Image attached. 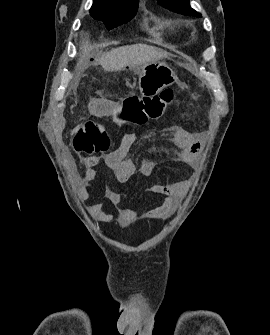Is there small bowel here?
<instances>
[{"instance_id": "small-bowel-1", "label": "small bowel", "mask_w": 270, "mask_h": 335, "mask_svg": "<svg viewBox=\"0 0 270 335\" xmlns=\"http://www.w3.org/2000/svg\"><path fill=\"white\" fill-rule=\"evenodd\" d=\"M100 108L97 110L99 116L117 118L115 104L108 100H99ZM171 144L179 152L175 157L178 163L189 166H196L197 155L201 149L202 142L199 135L191 133L180 126L171 127ZM135 142V135L130 131L122 133L119 147L102 156H91L82 161L83 172L80 177V196L86 198L87 187L96 179L97 173L95 167L104 160L109 169L114 173L120 183L128 182L137 172L142 176H149L156 167V162L152 160H142L137 168L132 159L128 158V153ZM60 159L63 157L60 156ZM62 164L66 169H73L74 163L70 158H63ZM190 180H177L168 183H157L149 187V191L164 197L162 202L146 211V217L149 219H165L171 216L177 204L183 199L190 187ZM106 201L115 210L121 226H126L134 210L129 207H121V194L111 188L104 191ZM91 217L102 223H109L113 219V212L104 203H97L87 208Z\"/></svg>"}]
</instances>
